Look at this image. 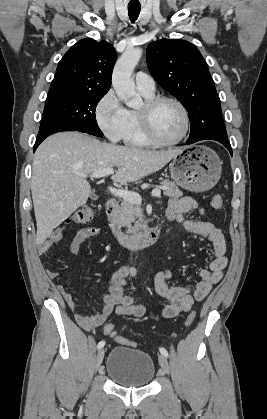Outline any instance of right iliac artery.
<instances>
[{"label": "right iliac artery", "instance_id": "right-iliac-artery-1", "mask_svg": "<svg viewBox=\"0 0 267 419\" xmlns=\"http://www.w3.org/2000/svg\"><path fill=\"white\" fill-rule=\"evenodd\" d=\"M105 345V341H100L97 345L98 349H101Z\"/></svg>", "mask_w": 267, "mask_h": 419}]
</instances>
